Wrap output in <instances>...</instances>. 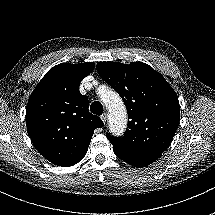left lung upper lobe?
I'll list each match as a JSON object with an SVG mask.
<instances>
[{
    "label": "left lung upper lobe",
    "instance_id": "1",
    "mask_svg": "<svg viewBox=\"0 0 215 215\" xmlns=\"http://www.w3.org/2000/svg\"><path fill=\"white\" fill-rule=\"evenodd\" d=\"M97 71L122 97L128 113L124 136L106 134L113 147L129 155H161L180 121L179 101L173 88L143 62H98Z\"/></svg>",
    "mask_w": 215,
    "mask_h": 215
}]
</instances>
